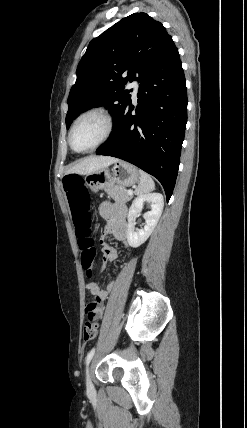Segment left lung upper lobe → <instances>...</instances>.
Segmentation results:
<instances>
[{
    "instance_id": "obj_1",
    "label": "left lung upper lobe",
    "mask_w": 247,
    "mask_h": 428,
    "mask_svg": "<svg viewBox=\"0 0 247 428\" xmlns=\"http://www.w3.org/2000/svg\"><path fill=\"white\" fill-rule=\"evenodd\" d=\"M175 48L163 25L142 12L121 19L93 39L69 93L67 129L82 111L97 106L109 108L117 121L131 98L127 81H140Z\"/></svg>"
}]
</instances>
